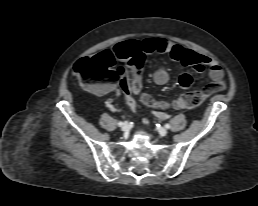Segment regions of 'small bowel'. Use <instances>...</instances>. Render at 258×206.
Returning <instances> with one entry per match:
<instances>
[{
	"instance_id": "c3829d8e",
	"label": "small bowel",
	"mask_w": 258,
	"mask_h": 206,
	"mask_svg": "<svg viewBox=\"0 0 258 206\" xmlns=\"http://www.w3.org/2000/svg\"><path fill=\"white\" fill-rule=\"evenodd\" d=\"M104 52L122 60H132L151 53H167L174 61L191 67L197 73L208 69L209 77L214 82H220L224 76L220 65L211 57L200 54L185 46L173 44L165 38L148 37L143 40L128 39L116 44L112 50H106ZM169 78V73L165 67H160L153 75V80L157 85H165L169 81ZM192 83L193 78L188 73H184L179 77V85L184 89L189 88ZM113 89L114 87L112 85H107L98 90V93L105 94ZM106 104L111 111H116L112 100H108ZM156 116L160 119L167 118V114L161 110L156 111Z\"/></svg>"
}]
</instances>
